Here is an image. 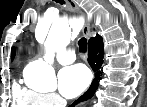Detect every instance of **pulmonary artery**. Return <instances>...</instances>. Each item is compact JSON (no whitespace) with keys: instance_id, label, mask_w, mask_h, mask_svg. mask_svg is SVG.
I'll list each match as a JSON object with an SVG mask.
<instances>
[{"instance_id":"pulmonary-artery-1","label":"pulmonary artery","mask_w":147,"mask_h":107,"mask_svg":"<svg viewBox=\"0 0 147 107\" xmlns=\"http://www.w3.org/2000/svg\"><path fill=\"white\" fill-rule=\"evenodd\" d=\"M76 59L73 50H63L57 54V60L61 64H69L74 62Z\"/></svg>"}]
</instances>
